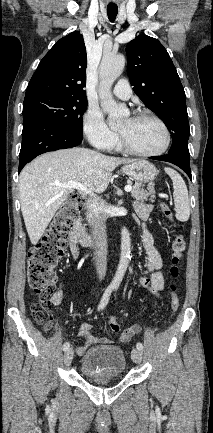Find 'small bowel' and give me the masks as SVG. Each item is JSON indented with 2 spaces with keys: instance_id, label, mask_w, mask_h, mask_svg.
I'll list each match as a JSON object with an SVG mask.
<instances>
[{
  "instance_id": "obj_1",
  "label": "small bowel",
  "mask_w": 213,
  "mask_h": 433,
  "mask_svg": "<svg viewBox=\"0 0 213 433\" xmlns=\"http://www.w3.org/2000/svg\"><path fill=\"white\" fill-rule=\"evenodd\" d=\"M135 210L138 215V217L145 221L151 210L152 207L150 204L147 203H136ZM142 247L145 253V259H146V275L139 276V282L140 284L146 288L154 297H158L159 293L164 288V275L162 272L163 267V261L162 258L154 246L153 237L151 233L143 227L142 231ZM69 249H70V255L72 260H77L80 256V248L79 243L76 239L75 234L72 232L69 236ZM63 302V292L61 290L55 291L51 297H50V303L54 306H61ZM52 327V323L48 322L45 324L44 329L46 331L50 330ZM128 331H131L132 334L128 339H124L121 335L119 338V342H127L130 340L133 336L139 333L140 326L139 325H132L130 328L127 329ZM91 326L87 323L81 324L79 327V335L81 337L85 338V341L83 344L77 347L76 352L79 355L84 354L91 346H93L96 343H99L101 340H103L105 343H109V339H100L91 333Z\"/></svg>"
}]
</instances>
